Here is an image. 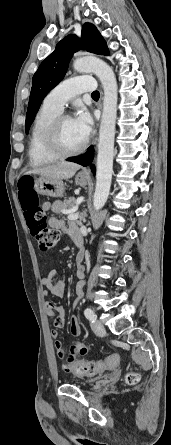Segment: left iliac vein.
I'll list each match as a JSON object with an SVG mask.
<instances>
[{
  "instance_id": "left-iliac-vein-1",
  "label": "left iliac vein",
  "mask_w": 171,
  "mask_h": 445,
  "mask_svg": "<svg viewBox=\"0 0 171 445\" xmlns=\"http://www.w3.org/2000/svg\"><path fill=\"white\" fill-rule=\"evenodd\" d=\"M91 328H92L93 332L97 335L105 334V327L100 321L92 322Z\"/></svg>"
}]
</instances>
